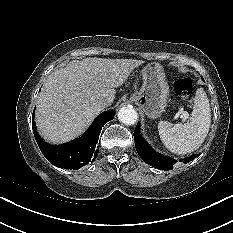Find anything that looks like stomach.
<instances>
[{"instance_id": "stomach-1", "label": "stomach", "mask_w": 233, "mask_h": 233, "mask_svg": "<svg viewBox=\"0 0 233 233\" xmlns=\"http://www.w3.org/2000/svg\"><path fill=\"white\" fill-rule=\"evenodd\" d=\"M141 89L131 96L150 119L159 118L168 106L169 86L159 63H149L142 70Z\"/></svg>"}]
</instances>
